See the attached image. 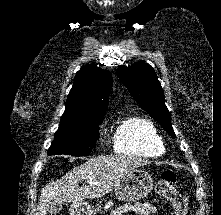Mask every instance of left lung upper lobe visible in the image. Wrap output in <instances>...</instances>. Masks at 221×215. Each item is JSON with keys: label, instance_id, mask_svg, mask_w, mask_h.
<instances>
[{"label": "left lung upper lobe", "instance_id": "1", "mask_svg": "<svg viewBox=\"0 0 221 215\" xmlns=\"http://www.w3.org/2000/svg\"><path fill=\"white\" fill-rule=\"evenodd\" d=\"M117 75L140 106L175 137L163 89L151 65L138 62L127 68L119 67Z\"/></svg>", "mask_w": 221, "mask_h": 215}]
</instances>
